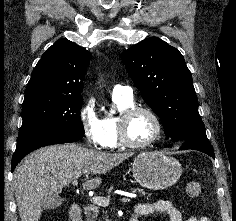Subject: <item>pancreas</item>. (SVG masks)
I'll use <instances>...</instances> for the list:
<instances>
[{
    "mask_svg": "<svg viewBox=\"0 0 236 221\" xmlns=\"http://www.w3.org/2000/svg\"><path fill=\"white\" fill-rule=\"evenodd\" d=\"M135 191H137L141 194H145L144 190L140 189V188L135 189ZM101 212H103L102 215H101ZM85 214H86V221H97V220L98 221H102V220L109 221L107 214L104 211H101L100 207L96 206V205H90L87 208Z\"/></svg>",
    "mask_w": 236,
    "mask_h": 221,
    "instance_id": "cf45deb5",
    "label": "pancreas"
}]
</instances>
